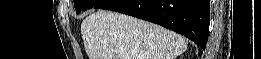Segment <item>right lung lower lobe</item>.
I'll list each match as a JSON object with an SVG mask.
<instances>
[{"mask_svg": "<svg viewBox=\"0 0 261 59\" xmlns=\"http://www.w3.org/2000/svg\"><path fill=\"white\" fill-rule=\"evenodd\" d=\"M94 8L117 11L159 24L206 47L209 0H104Z\"/></svg>", "mask_w": 261, "mask_h": 59, "instance_id": "1", "label": "right lung lower lobe"}]
</instances>
